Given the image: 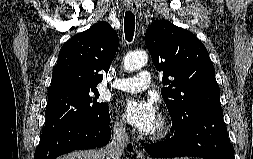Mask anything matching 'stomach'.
Masks as SVG:
<instances>
[{
	"label": "stomach",
	"mask_w": 253,
	"mask_h": 159,
	"mask_svg": "<svg viewBox=\"0 0 253 159\" xmlns=\"http://www.w3.org/2000/svg\"><path fill=\"white\" fill-rule=\"evenodd\" d=\"M176 159H187V158H183V157H182V158H176Z\"/></svg>",
	"instance_id": "1"
}]
</instances>
